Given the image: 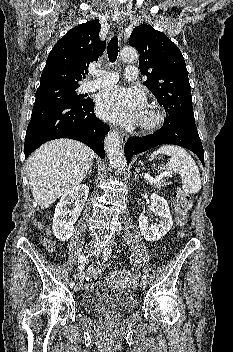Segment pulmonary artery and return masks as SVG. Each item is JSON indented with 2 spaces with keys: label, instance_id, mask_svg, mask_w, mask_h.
Returning <instances> with one entry per match:
<instances>
[{
  "label": "pulmonary artery",
  "instance_id": "obj_1",
  "mask_svg": "<svg viewBox=\"0 0 233 352\" xmlns=\"http://www.w3.org/2000/svg\"><path fill=\"white\" fill-rule=\"evenodd\" d=\"M93 74L96 79L87 81L83 85V90L86 92H91L102 87L110 86L117 82L118 75L115 72H108L104 70L94 71ZM125 78L128 80H135L138 76V69L135 66H128L125 69Z\"/></svg>",
  "mask_w": 233,
  "mask_h": 352
}]
</instances>
